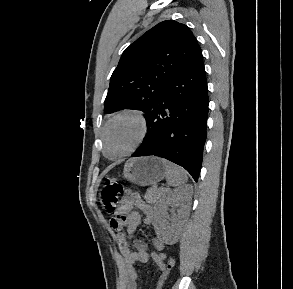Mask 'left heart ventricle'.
I'll list each match as a JSON object with an SVG mask.
<instances>
[{"label": "left heart ventricle", "instance_id": "b2bd125f", "mask_svg": "<svg viewBox=\"0 0 293 289\" xmlns=\"http://www.w3.org/2000/svg\"><path fill=\"white\" fill-rule=\"evenodd\" d=\"M138 124L132 118H120L113 122L107 133V153L115 157L126 152L136 141Z\"/></svg>", "mask_w": 293, "mask_h": 289}]
</instances>
